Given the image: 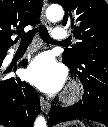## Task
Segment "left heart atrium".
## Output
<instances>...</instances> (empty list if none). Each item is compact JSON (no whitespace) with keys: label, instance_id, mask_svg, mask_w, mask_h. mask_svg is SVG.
<instances>
[{"label":"left heart atrium","instance_id":"obj_1","mask_svg":"<svg viewBox=\"0 0 108 127\" xmlns=\"http://www.w3.org/2000/svg\"><path fill=\"white\" fill-rule=\"evenodd\" d=\"M26 78L40 90L54 93L63 87L66 71L50 54L42 53L29 64Z\"/></svg>","mask_w":108,"mask_h":127}]
</instances>
